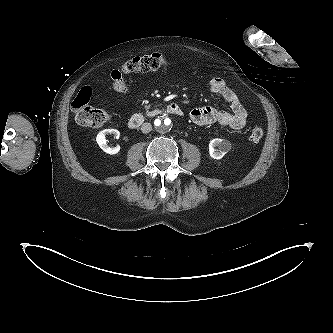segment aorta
I'll return each mask as SVG.
<instances>
[{
	"instance_id": "762f6f07",
	"label": "aorta",
	"mask_w": 333,
	"mask_h": 333,
	"mask_svg": "<svg viewBox=\"0 0 333 333\" xmlns=\"http://www.w3.org/2000/svg\"><path fill=\"white\" fill-rule=\"evenodd\" d=\"M155 129L159 133H166L171 129V121L167 117L159 118L155 121Z\"/></svg>"
}]
</instances>
